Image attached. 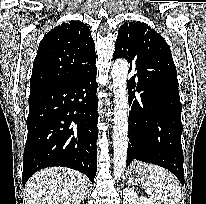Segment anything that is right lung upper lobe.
Wrapping results in <instances>:
<instances>
[{"mask_svg":"<svg viewBox=\"0 0 206 204\" xmlns=\"http://www.w3.org/2000/svg\"><path fill=\"white\" fill-rule=\"evenodd\" d=\"M95 44L80 21L63 23L40 42L30 79L31 89L72 80L95 66Z\"/></svg>","mask_w":206,"mask_h":204,"instance_id":"1","label":"right lung upper lobe"}]
</instances>
